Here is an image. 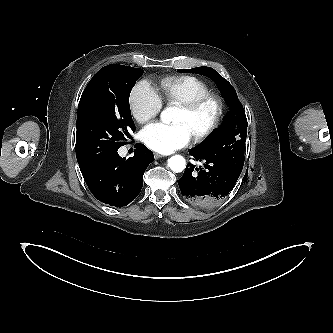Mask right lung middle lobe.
<instances>
[{"label":"right lung middle lobe","instance_id":"1","mask_svg":"<svg viewBox=\"0 0 333 333\" xmlns=\"http://www.w3.org/2000/svg\"><path fill=\"white\" fill-rule=\"evenodd\" d=\"M143 72L140 68L108 65L86 86L77 112L75 149L80 169L116 152L132 139L135 125L129 95Z\"/></svg>","mask_w":333,"mask_h":333}]
</instances>
